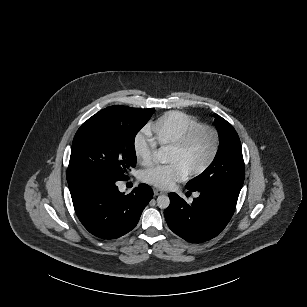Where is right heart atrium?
<instances>
[{"mask_svg":"<svg viewBox=\"0 0 307 307\" xmlns=\"http://www.w3.org/2000/svg\"><path fill=\"white\" fill-rule=\"evenodd\" d=\"M133 153L136 161L144 166L151 165L157 153V146L145 135L133 142Z\"/></svg>","mask_w":307,"mask_h":307,"instance_id":"right-heart-atrium-1","label":"right heart atrium"}]
</instances>
